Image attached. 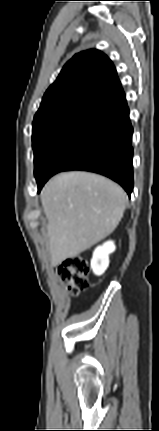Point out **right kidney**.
<instances>
[{
    "label": "right kidney",
    "mask_w": 159,
    "mask_h": 431,
    "mask_svg": "<svg viewBox=\"0 0 159 431\" xmlns=\"http://www.w3.org/2000/svg\"><path fill=\"white\" fill-rule=\"evenodd\" d=\"M115 249L116 246L113 241H107L95 249L91 259V268L95 275L100 276L106 271L109 266V255Z\"/></svg>",
    "instance_id": "1"
}]
</instances>
